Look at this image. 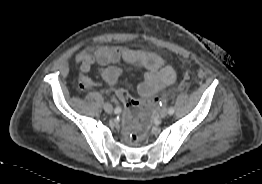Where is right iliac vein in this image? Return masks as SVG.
<instances>
[{"label": "right iliac vein", "mask_w": 262, "mask_h": 184, "mask_svg": "<svg viewBox=\"0 0 262 184\" xmlns=\"http://www.w3.org/2000/svg\"><path fill=\"white\" fill-rule=\"evenodd\" d=\"M103 107H104V110L107 113H112L113 112V106L110 103H105Z\"/></svg>", "instance_id": "1"}]
</instances>
